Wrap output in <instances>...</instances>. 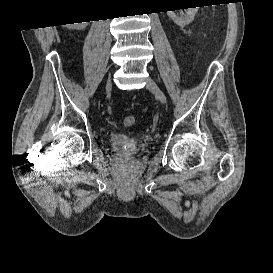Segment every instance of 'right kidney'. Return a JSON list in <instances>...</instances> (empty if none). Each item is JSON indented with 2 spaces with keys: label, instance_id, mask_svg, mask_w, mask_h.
<instances>
[{
  "label": "right kidney",
  "instance_id": "obj_1",
  "mask_svg": "<svg viewBox=\"0 0 273 273\" xmlns=\"http://www.w3.org/2000/svg\"><path fill=\"white\" fill-rule=\"evenodd\" d=\"M88 22L75 23L78 26H74V29H84L87 26Z\"/></svg>",
  "mask_w": 273,
  "mask_h": 273
}]
</instances>
